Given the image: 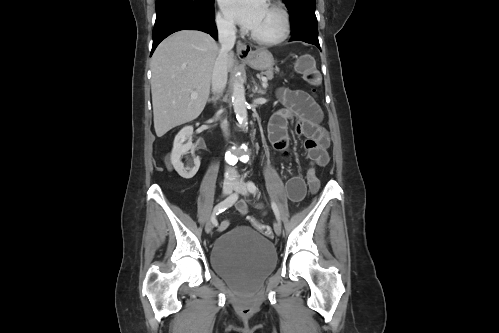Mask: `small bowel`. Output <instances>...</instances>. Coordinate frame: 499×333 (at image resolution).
<instances>
[{
  "label": "small bowel",
  "instance_id": "obj_1",
  "mask_svg": "<svg viewBox=\"0 0 499 333\" xmlns=\"http://www.w3.org/2000/svg\"><path fill=\"white\" fill-rule=\"evenodd\" d=\"M278 95L284 108L275 112L269 122L268 137L273 148L284 157L290 156L288 124L297 118L295 133L304 138L308 158L318 166L327 165L330 139L327 130L321 125L323 113L319 105L302 90L281 89ZM286 192L291 201H301L305 196L304 180L298 175L291 176L286 182ZM235 206L241 215L247 213V201L239 200ZM228 225L229 222L224 221L219 230H225Z\"/></svg>",
  "mask_w": 499,
  "mask_h": 333
}]
</instances>
